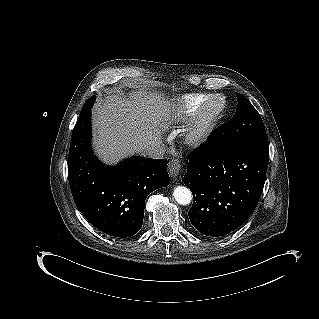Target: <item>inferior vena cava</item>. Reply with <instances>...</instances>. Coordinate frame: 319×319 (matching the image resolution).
I'll use <instances>...</instances> for the list:
<instances>
[{
  "mask_svg": "<svg viewBox=\"0 0 319 319\" xmlns=\"http://www.w3.org/2000/svg\"><path fill=\"white\" fill-rule=\"evenodd\" d=\"M140 151L143 156L153 159H161L163 158L166 150L162 143H155L143 146Z\"/></svg>",
  "mask_w": 319,
  "mask_h": 319,
  "instance_id": "inferior-vena-cava-1",
  "label": "inferior vena cava"
}]
</instances>
